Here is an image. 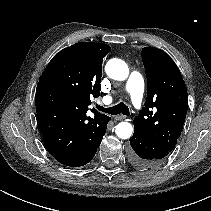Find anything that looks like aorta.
<instances>
[{"label": "aorta", "instance_id": "762f6f07", "mask_svg": "<svg viewBox=\"0 0 211 211\" xmlns=\"http://www.w3.org/2000/svg\"><path fill=\"white\" fill-rule=\"evenodd\" d=\"M105 71L108 77L122 81L129 75V68L127 64L121 59H111L105 66ZM116 135L120 139H128L132 136L133 126L128 122H120L115 129Z\"/></svg>", "mask_w": 211, "mask_h": 211}]
</instances>
